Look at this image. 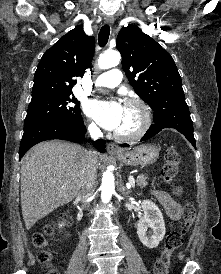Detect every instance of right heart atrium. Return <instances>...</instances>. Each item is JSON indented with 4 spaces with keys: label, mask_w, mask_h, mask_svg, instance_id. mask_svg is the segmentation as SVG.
I'll list each match as a JSON object with an SVG mask.
<instances>
[{
    "label": "right heart atrium",
    "mask_w": 221,
    "mask_h": 274,
    "mask_svg": "<svg viewBox=\"0 0 221 274\" xmlns=\"http://www.w3.org/2000/svg\"><path fill=\"white\" fill-rule=\"evenodd\" d=\"M88 130L92 133V134H99L100 130L98 128V126L95 123H90L88 125Z\"/></svg>",
    "instance_id": "obj_1"
}]
</instances>
